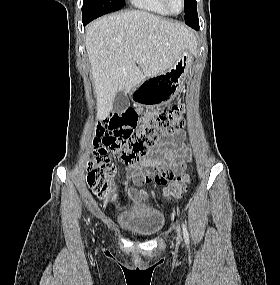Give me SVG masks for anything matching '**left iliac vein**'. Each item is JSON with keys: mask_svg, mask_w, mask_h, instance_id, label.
<instances>
[{"mask_svg": "<svg viewBox=\"0 0 280 285\" xmlns=\"http://www.w3.org/2000/svg\"><path fill=\"white\" fill-rule=\"evenodd\" d=\"M176 231L178 233V241H181L180 229L177 227Z\"/></svg>", "mask_w": 280, "mask_h": 285, "instance_id": "left-iliac-vein-1", "label": "left iliac vein"}]
</instances>
